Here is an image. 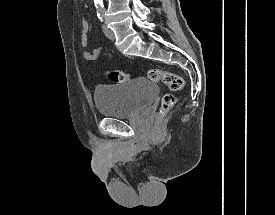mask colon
<instances>
[{
    "mask_svg": "<svg viewBox=\"0 0 275 215\" xmlns=\"http://www.w3.org/2000/svg\"><path fill=\"white\" fill-rule=\"evenodd\" d=\"M147 76L153 82L163 83L171 92L181 91L185 86L184 80L181 76L162 69H149ZM108 78L113 83H123L128 80V73L124 70L113 69L108 72ZM175 103L176 98L172 93L164 95L157 118L161 119L166 114V112L175 105Z\"/></svg>",
    "mask_w": 275,
    "mask_h": 215,
    "instance_id": "5ec220e1",
    "label": "colon"
}]
</instances>
